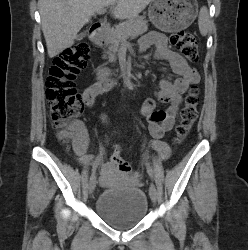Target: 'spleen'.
Here are the masks:
<instances>
[{
  "instance_id": "1",
  "label": "spleen",
  "mask_w": 248,
  "mask_h": 250,
  "mask_svg": "<svg viewBox=\"0 0 248 250\" xmlns=\"http://www.w3.org/2000/svg\"><path fill=\"white\" fill-rule=\"evenodd\" d=\"M209 23H210L209 13L207 8L204 6L200 9L199 19H198L199 30L202 36L207 35L209 29Z\"/></svg>"
}]
</instances>
